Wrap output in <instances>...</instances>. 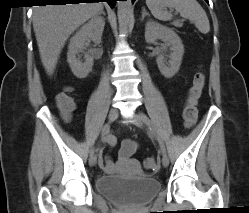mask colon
Returning a JSON list of instances; mask_svg holds the SVG:
<instances>
[{"label":"colon","instance_id":"1","mask_svg":"<svg viewBox=\"0 0 249 213\" xmlns=\"http://www.w3.org/2000/svg\"><path fill=\"white\" fill-rule=\"evenodd\" d=\"M205 84V73L199 71L195 74L192 86L189 89L183 108V119L186 126L191 127L195 124L198 117L197 103ZM57 105L60 111L66 115H71L75 108L74 100L66 93L57 96ZM160 161L156 156H149L144 159L143 167L147 171H154L159 168Z\"/></svg>","mask_w":249,"mask_h":213}]
</instances>
